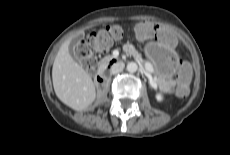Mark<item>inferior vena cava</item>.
I'll use <instances>...</instances> for the list:
<instances>
[{"label":"inferior vena cava","mask_w":230,"mask_h":155,"mask_svg":"<svg viewBox=\"0 0 230 155\" xmlns=\"http://www.w3.org/2000/svg\"><path fill=\"white\" fill-rule=\"evenodd\" d=\"M124 66L125 65H124L123 62L115 63L114 65H112L110 73L111 74L119 73V72H121L124 69Z\"/></svg>","instance_id":"inferior-vena-cava-1"}]
</instances>
